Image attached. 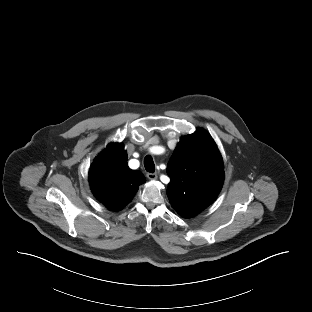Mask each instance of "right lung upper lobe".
<instances>
[{"label":"right lung upper lobe","instance_id":"obj_1","mask_svg":"<svg viewBox=\"0 0 312 312\" xmlns=\"http://www.w3.org/2000/svg\"><path fill=\"white\" fill-rule=\"evenodd\" d=\"M95 197L108 209L118 211L127 205L145 182L139 170L127 165V153L121 143L110 144L93 161L89 170Z\"/></svg>","mask_w":312,"mask_h":312}]
</instances>
